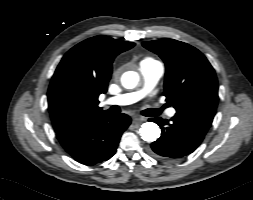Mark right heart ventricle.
Returning a JSON list of instances; mask_svg holds the SVG:
<instances>
[{
	"label": "right heart ventricle",
	"instance_id": "e07e8e85",
	"mask_svg": "<svg viewBox=\"0 0 253 200\" xmlns=\"http://www.w3.org/2000/svg\"><path fill=\"white\" fill-rule=\"evenodd\" d=\"M145 60H151V59L147 58V59H145Z\"/></svg>",
	"mask_w": 253,
	"mask_h": 200
}]
</instances>
